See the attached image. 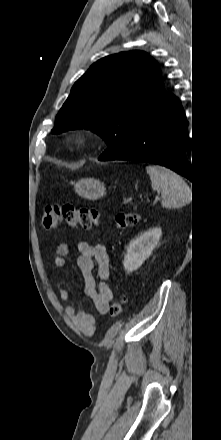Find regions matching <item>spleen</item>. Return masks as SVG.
Wrapping results in <instances>:
<instances>
[{"instance_id": "3e777b00", "label": "spleen", "mask_w": 221, "mask_h": 440, "mask_svg": "<svg viewBox=\"0 0 221 440\" xmlns=\"http://www.w3.org/2000/svg\"><path fill=\"white\" fill-rule=\"evenodd\" d=\"M154 191L161 192L162 207L179 208L191 200V190L187 183L175 172L162 166L146 167Z\"/></svg>"}]
</instances>
